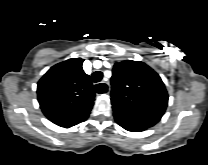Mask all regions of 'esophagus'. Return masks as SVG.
I'll return each instance as SVG.
<instances>
[{
    "instance_id": "34e87169",
    "label": "esophagus",
    "mask_w": 208,
    "mask_h": 165,
    "mask_svg": "<svg viewBox=\"0 0 208 165\" xmlns=\"http://www.w3.org/2000/svg\"><path fill=\"white\" fill-rule=\"evenodd\" d=\"M100 84L105 85L107 87V91L105 92V94H108L109 93V90H110L108 83L101 82Z\"/></svg>"
}]
</instances>
